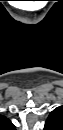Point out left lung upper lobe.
<instances>
[{
  "instance_id": "5c2ea615",
  "label": "left lung upper lobe",
  "mask_w": 63,
  "mask_h": 130,
  "mask_svg": "<svg viewBox=\"0 0 63 130\" xmlns=\"http://www.w3.org/2000/svg\"><path fill=\"white\" fill-rule=\"evenodd\" d=\"M45 130H62L63 129V107L55 108L47 118Z\"/></svg>"
}]
</instances>
